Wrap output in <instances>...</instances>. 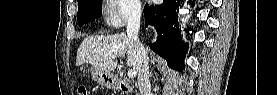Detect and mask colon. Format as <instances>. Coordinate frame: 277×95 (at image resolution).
I'll return each mask as SVG.
<instances>
[{
	"label": "colon",
	"mask_w": 277,
	"mask_h": 95,
	"mask_svg": "<svg viewBox=\"0 0 277 95\" xmlns=\"http://www.w3.org/2000/svg\"><path fill=\"white\" fill-rule=\"evenodd\" d=\"M79 92L81 94H87L88 90H87L86 86H81L79 89Z\"/></svg>",
	"instance_id": "1"
}]
</instances>
